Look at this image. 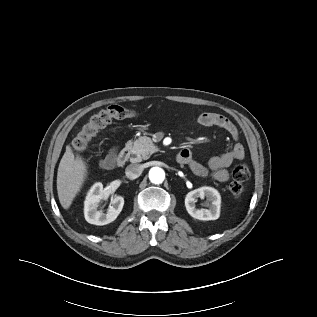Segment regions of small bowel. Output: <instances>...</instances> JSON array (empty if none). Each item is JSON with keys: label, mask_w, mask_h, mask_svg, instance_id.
Returning a JSON list of instances; mask_svg holds the SVG:
<instances>
[{"label": "small bowel", "mask_w": 317, "mask_h": 317, "mask_svg": "<svg viewBox=\"0 0 317 317\" xmlns=\"http://www.w3.org/2000/svg\"><path fill=\"white\" fill-rule=\"evenodd\" d=\"M198 122L202 126L212 127L216 126L224 129L229 135L236 141L231 150L219 155L211 157L206 165H203L196 161L192 153L188 149L184 151L188 152V156L184 159L182 164H186L190 167L194 174L206 177L211 176L214 180L219 182H225L229 179V167L234 161L243 160L245 157V149L238 141L239 131L236 125L226 116L214 112H203L198 116ZM114 150L109 155L100 161L103 167L106 166L107 160L114 157Z\"/></svg>", "instance_id": "1"}]
</instances>
